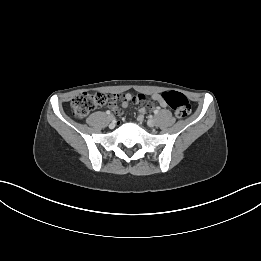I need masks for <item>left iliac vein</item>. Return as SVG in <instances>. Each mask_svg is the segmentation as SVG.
Instances as JSON below:
<instances>
[{
    "mask_svg": "<svg viewBox=\"0 0 261 261\" xmlns=\"http://www.w3.org/2000/svg\"><path fill=\"white\" fill-rule=\"evenodd\" d=\"M147 125L149 126V127H154L155 125H156V120L155 119H149L148 121H147Z\"/></svg>",
    "mask_w": 261,
    "mask_h": 261,
    "instance_id": "left-iliac-vein-1",
    "label": "left iliac vein"
}]
</instances>
